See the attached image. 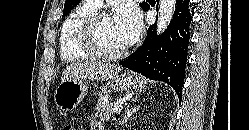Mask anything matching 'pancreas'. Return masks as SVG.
<instances>
[{
	"label": "pancreas",
	"instance_id": "pancreas-1",
	"mask_svg": "<svg viewBox=\"0 0 249 130\" xmlns=\"http://www.w3.org/2000/svg\"><path fill=\"white\" fill-rule=\"evenodd\" d=\"M105 99L108 100V96H101L98 99V103L96 106L95 116L101 121H108L109 119H111L113 117V109L115 108L113 104L105 102Z\"/></svg>",
	"mask_w": 249,
	"mask_h": 130
}]
</instances>
